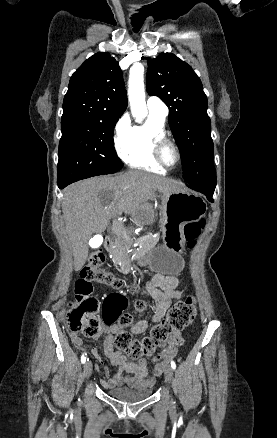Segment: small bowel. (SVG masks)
Wrapping results in <instances>:
<instances>
[{
	"label": "small bowel",
	"mask_w": 277,
	"mask_h": 438,
	"mask_svg": "<svg viewBox=\"0 0 277 438\" xmlns=\"http://www.w3.org/2000/svg\"><path fill=\"white\" fill-rule=\"evenodd\" d=\"M178 282V278L172 275L155 274L153 276L146 286L148 295L155 302L153 315L148 319H142L134 323L130 327L133 334L144 333L150 324L159 322L165 316L172 302L180 299L181 293L177 290ZM119 330V326L104 327L97 336L101 340L104 354L110 359L111 364L116 367L114 374L112 369H105L102 384L107 388L118 385H127L137 389L151 388L156 379L162 375L168 361L174 356L177 345L181 341V334L176 332L170 337L169 346L160 354L162 357L161 362L153 363L152 371L149 373L146 359L141 358L135 362L130 361L123 353L115 349L114 335ZM70 338L76 346L83 344L82 337L77 333H70ZM91 354L97 355L98 349L92 348Z\"/></svg>",
	"instance_id": "c3829d8e"
}]
</instances>
